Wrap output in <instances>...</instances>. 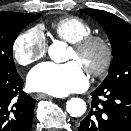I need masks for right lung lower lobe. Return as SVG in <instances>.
<instances>
[{"instance_id":"right-lung-lower-lobe-1","label":"right lung lower lobe","mask_w":131,"mask_h":131,"mask_svg":"<svg viewBox=\"0 0 131 131\" xmlns=\"http://www.w3.org/2000/svg\"><path fill=\"white\" fill-rule=\"evenodd\" d=\"M17 74L0 73V131H29L36 100L23 90Z\"/></svg>"}]
</instances>
